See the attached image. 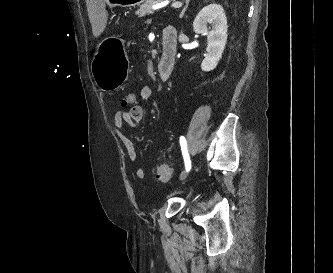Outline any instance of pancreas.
<instances>
[{
	"label": "pancreas",
	"mask_w": 333,
	"mask_h": 273,
	"mask_svg": "<svg viewBox=\"0 0 333 273\" xmlns=\"http://www.w3.org/2000/svg\"><path fill=\"white\" fill-rule=\"evenodd\" d=\"M162 0H147L140 8L136 11V15L139 17H143L145 15H149L154 12L152 6L160 3Z\"/></svg>",
	"instance_id": "pancreas-1"
}]
</instances>
